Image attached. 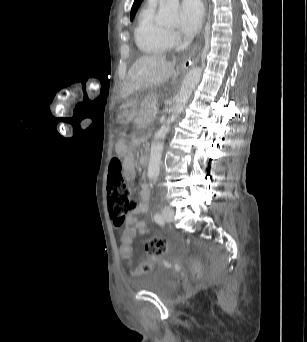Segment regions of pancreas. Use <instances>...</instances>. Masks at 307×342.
<instances>
[{
  "label": "pancreas",
  "instance_id": "obj_1",
  "mask_svg": "<svg viewBox=\"0 0 307 342\" xmlns=\"http://www.w3.org/2000/svg\"><path fill=\"white\" fill-rule=\"evenodd\" d=\"M157 100L154 98V96H151V98H145V100H142L140 104V110L139 114L142 119H148L149 116H153V118H156V110L153 109L157 108Z\"/></svg>",
  "mask_w": 307,
  "mask_h": 342
}]
</instances>
